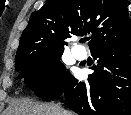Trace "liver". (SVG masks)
I'll list each match as a JSON object with an SVG mask.
<instances>
[{"instance_id": "obj_1", "label": "liver", "mask_w": 131, "mask_h": 115, "mask_svg": "<svg viewBox=\"0 0 131 115\" xmlns=\"http://www.w3.org/2000/svg\"><path fill=\"white\" fill-rule=\"evenodd\" d=\"M4 115H73L55 104H39L30 99L15 100L4 111Z\"/></svg>"}]
</instances>
